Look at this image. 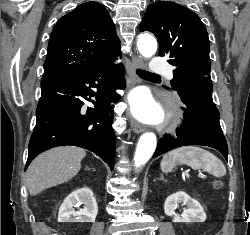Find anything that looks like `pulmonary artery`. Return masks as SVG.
I'll return each mask as SVG.
<instances>
[{
	"label": "pulmonary artery",
	"instance_id": "obj_1",
	"mask_svg": "<svg viewBox=\"0 0 250 235\" xmlns=\"http://www.w3.org/2000/svg\"><path fill=\"white\" fill-rule=\"evenodd\" d=\"M150 72L152 73H162L165 74L169 79L173 78V73L169 65L164 61L163 58L155 56L150 62Z\"/></svg>",
	"mask_w": 250,
	"mask_h": 235
}]
</instances>
